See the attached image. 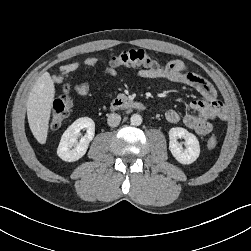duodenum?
Here are the masks:
<instances>
[{"label":"duodenum","mask_w":251,"mask_h":251,"mask_svg":"<svg viewBox=\"0 0 251 251\" xmlns=\"http://www.w3.org/2000/svg\"><path fill=\"white\" fill-rule=\"evenodd\" d=\"M110 109L121 110V109H144V105L141 102L131 100L127 97H117L113 99L110 103Z\"/></svg>","instance_id":"410a0bca"}]
</instances>
